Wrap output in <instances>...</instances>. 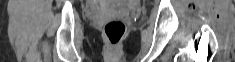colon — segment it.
I'll return each instance as SVG.
<instances>
[{
	"instance_id": "1",
	"label": "colon",
	"mask_w": 235,
	"mask_h": 62,
	"mask_svg": "<svg viewBox=\"0 0 235 62\" xmlns=\"http://www.w3.org/2000/svg\"><path fill=\"white\" fill-rule=\"evenodd\" d=\"M104 35L111 47H116L122 40L126 26L122 20L114 19L105 23Z\"/></svg>"
}]
</instances>
